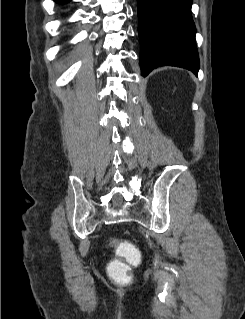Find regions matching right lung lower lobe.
Here are the masks:
<instances>
[{"mask_svg": "<svg viewBox=\"0 0 245 319\" xmlns=\"http://www.w3.org/2000/svg\"><path fill=\"white\" fill-rule=\"evenodd\" d=\"M55 1L58 2V3L64 4V3H67L70 0H55Z\"/></svg>", "mask_w": 245, "mask_h": 319, "instance_id": "obj_1", "label": "right lung lower lobe"}]
</instances>
